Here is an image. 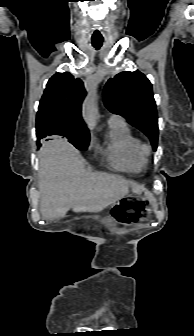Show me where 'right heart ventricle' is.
<instances>
[{
    "mask_svg": "<svg viewBox=\"0 0 194 336\" xmlns=\"http://www.w3.org/2000/svg\"><path fill=\"white\" fill-rule=\"evenodd\" d=\"M109 134L101 153L108 163L119 170L128 172L141 171L146 163L143 145L125 122L109 126Z\"/></svg>",
    "mask_w": 194,
    "mask_h": 336,
    "instance_id": "right-heart-ventricle-1",
    "label": "right heart ventricle"
}]
</instances>
